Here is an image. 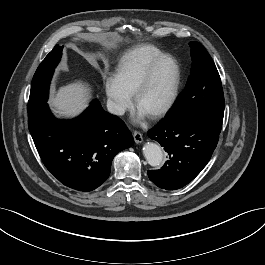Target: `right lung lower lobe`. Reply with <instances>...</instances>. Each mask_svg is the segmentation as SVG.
I'll return each mask as SVG.
<instances>
[{
	"label": "right lung lower lobe",
	"instance_id": "obj_1",
	"mask_svg": "<svg viewBox=\"0 0 265 265\" xmlns=\"http://www.w3.org/2000/svg\"><path fill=\"white\" fill-rule=\"evenodd\" d=\"M28 126L46 168L62 184L82 192L104 183L114 156L134 143L124 122L105 112L98 100L69 121L56 119L46 103L28 115Z\"/></svg>",
	"mask_w": 265,
	"mask_h": 265
}]
</instances>
